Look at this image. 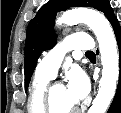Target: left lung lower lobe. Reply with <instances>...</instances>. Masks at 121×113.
I'll list each match as a JSON object with an SVG mask.
<instances>
[{
    "label": "left lung lower lobe",
    "mask_w": 121,
    "mask_h": 113,
    "mask_svg": "<svg viewBox=\"0 0 121 113\" xmlns=\"http://www.w3.org/2000/svg\"><path fill=\"white\" fill-rule=\"evenodd\" d=\"M110 23L113 27L116 40H117V44H118V48H119L120 73H119V83L117 86L116 94L107 113H121V27L116 17L113 18L110 21Z\"/></svg>",
    "instance_id": "1"
}]
</instances>
